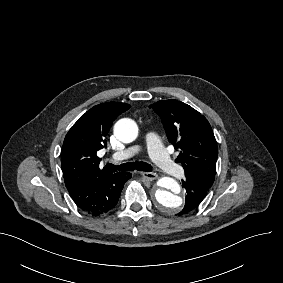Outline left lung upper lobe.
I'll return each instance as SVG.
<instances>
[{"mask_svg":"<svg viewBox=\"0 0 283 283\" xmlns=\"http://www.w3.org/2000/svg\"><path fill=\"white\" fill-rule=\"evenodd\" d=\"M149 107L160 116L169 142L182 150L177 160L182 163L185 174L214 180L218 148L207 119L175 99L158 101Z\"/></svg>","mask_w":283,"mask_h":283,"instance_id":"left-lung-upper-lobe-1","label":"left lung upper lobe"}]
</instances>
